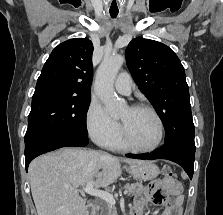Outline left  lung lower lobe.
I'll use <instances>...</instances> for the list:
<instances>
[{
    "label": "left lung lower lobe",
    "mask_w": 223,
    "mask_h": 215,
    "mask_svg": "<svg viewBox=\"0 0 223 215\" xmlns=\"http://www.w3.org/2000/svg\"><path fill=\"white\" fill-rule=\"evenodd\" d=\"M135 159H167L173 161L188 173L192 179L194 172L195 144L194 141H175L165 143L161 148L145 154H127Z\"/></svg>",
    "instance_id": "1"
}]
</instances>
